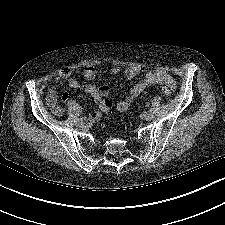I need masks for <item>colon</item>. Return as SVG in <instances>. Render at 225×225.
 <instances>
[{
    "mask_svg": "<svg viewBox=\"0 0 225 225\" xmlns=\"http://www.w3.org/2000/svg\"><path fill=\"white\" fill-rule=\"evenodd\" d=\"M161 92L165 95V96H169L171 94V89L169 86H162L161 87ZM103 106L106 110V112L109 111V108L111 107V101L108 99H105L103 101Z\"/></svg>",
    "mask_w": 225,
    "mask_h": 225,
    "instance_id": "1",
    "label": "colon"
}]
</instances>
